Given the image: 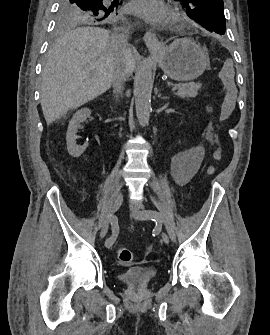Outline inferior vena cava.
I'll return each mask as SVG.
<instances>
[{
  "label": "inferior vena cava",
  "mask_w": 270,
  "mask_h": 335,
  "mask_svg": "<svg viewBox=\"0 0 270 335\" xmlns=\"http://www.w3.org/2000/svg\"><path fill=\"white\" fill-rule=\"evenodd\" d=\"M119 30H115V34H113L115 40L122 44V46H128V34L129 30H123V34H118ZM127 78H129V74L126 68H122V70H115L112 76V84L114 88V94H121V90H123L124 82H126ZM117 98V96H115Z\"/></svg>",
  "instance_id": "602c4592"
}]
</instances>
